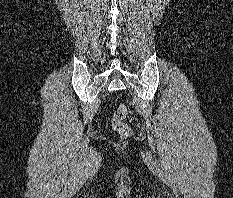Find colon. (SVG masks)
Segmentation results:
<instances>
[{
  "mask_svg": "<svg viewBox=\"0 0 233 198\" xmlns=\"http://www.w3.org/2000/svg\"><path fill=\"white\" fill-rule=\"evenodd\" d=\"M128 113L127 106L119 105L112 116V127L122 138H127L131 135V127L124 122Z\"/></svg>",
  "mask_w": 233,
  "mask_h": 198,
  "instance_id": "1",
  "label": "colon"
}]
</instances>
